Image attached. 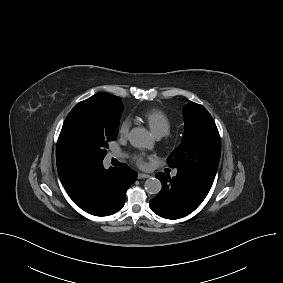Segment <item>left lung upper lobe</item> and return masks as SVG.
Masks as SVG:
<instances>
[{"label":"left lung upper lobe","instance_id":"1","mask_svg":"<svg viewBox=\"0 0 283 283\" xmlns=\"http://www.w3.org/2000/svg\"><path fill=\"white\" fill-rule=\"evenodd\" d=\"M184 137L167 162L179 172L191 174L212 186L221 155L216 124L202 105L189 101L183 108Z\"/></svg>","mask_w":283,"mask_h":283}]
</instances>
